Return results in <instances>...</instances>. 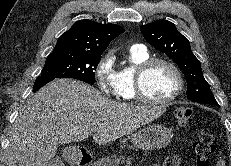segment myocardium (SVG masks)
Masks as SVG:
<instances>
[{"label": "myocardium", "instance_id": "f54148a6", "mask_svg": "<svg viewBox=\"0 0 231 166\" xmlns=\"http://www.w3.org/2000/svg\"><path fill=\"white\" fill-rule=\"evenodd\" d=\"M157 64H164L168 66L174 73L177 81L176 89L174 92L166 99H153L149 97L145 90H144V78L154 65ZM184 88V77L180 70V68L170 59L163 58V57H154L145 60L144 62L140 63L134 75V91H135V98L139 101L150 105H159V106H166L171 104L175 101L180 94L182 93Z\"/></svg>", "mask_w": 231, "mask_h": 166}]
</instances>
